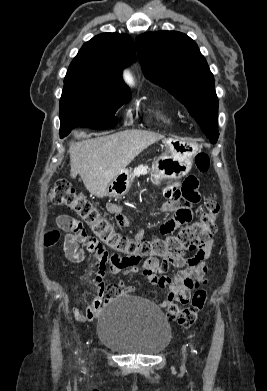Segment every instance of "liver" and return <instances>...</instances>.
Listing matches in <instances>:
<instances>
[{"instance_id":"liver-1","label":"liver","mask_w":267,"mask_h":391,"mask_svg":"<svg viewBox=\"0 0 267 391\" xmlns=\"http://www.w3.org/2000/svg\"><path fill=\"white\" fill-rule=\"evenodd\" d=\"M163 138V135L155 132L132 129L71 142L70 175L75 178L79 174L86 189L101 198L115 176L142 151Z\"/></svg>"}]
</instances>
